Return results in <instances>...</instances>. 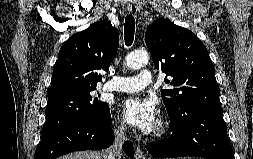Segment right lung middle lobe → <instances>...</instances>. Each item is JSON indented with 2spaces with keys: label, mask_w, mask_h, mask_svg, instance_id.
<instances>
[{
  "label": "right lung middle lobe",
  "mask_w": 253,
  "mask_h": 159,
  "mask_svg": "<svg viewBox=\"0 0 253 159\" xmlns=\"http://www.w3.org/2000/svg\"><path fill=\"white\" fill-rule=\"evenodd\" d=\"M92 91L48 98L42 137L74 121L83 119L102 121L110 109L107 103L94 98Z\"/></svg>",
  "instance_id": "right-lung-middle-lobe-1"
}]
</instances>
